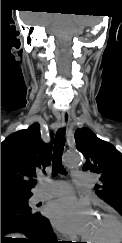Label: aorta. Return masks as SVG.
<instances>
[{
	"label": "aorta",
	"instance_id": "obj_1",
	"mask_svg": "<svg viewBox=\"0 0 122 243\" xmlns=\"http://www.w3.org/2000/svg\"><path fill=\"white\" fill-rule=\"evenodd\" d=\"M82 162V156L78 151H69L65 155V164L69 168H75L80 166Z\"/></svg>",
	"mask_w": 122,
	"mask_h": 243
}]
</instances>
